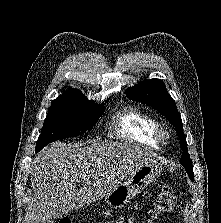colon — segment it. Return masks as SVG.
<instances>
[{
    "instance_id": "colon-1",
    "label": "colon",
    "mask_w": 221,
    "mask_h": 223,
    "mask_svg": "<svg viewBox=\"0 0 221 223\" xmlns=\"http://www.w3.org/2000/svg\"><path fill=\"white\" fill-rule=\"evenodd\" d=\"M177 202L176 192L173 188L165 186L161 189L154 207L149 211L146 223H151L159 216L171 212ZM58 223H71L69 218H61Z\"/></svg>"
}]
</instances>
